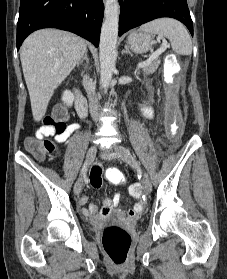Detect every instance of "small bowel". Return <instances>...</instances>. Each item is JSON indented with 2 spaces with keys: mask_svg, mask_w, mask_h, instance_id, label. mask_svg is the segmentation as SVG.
Returning <instances> with one entry per match:
<instances>
[{
  "mask_svg": "<svg viewBox=\"0 0 227 279\" xmlns=\"http://www.w3.org/2000/svg\"><path fill=\"white\" fill-rule=\"evenodd\" d=\"M141 110H142L143 115L146 118L151 119L154 117V110L150 105L144 104L142 106ZM76 129H77V125H75V124L68 125L64 131L59 132L55 135L56 142H59V143L65 142L67 140V138ZM45 136H54V130L51 127H44L37 132L35 138L42 139ZM29 139L31 140L32 137ZM53 152H56V150H53ZM114 169L115 168H106V169L100 168V171H98L97 173H95V174L91 173V175L89 177V184L94 188H100L102 186L103 179L109 178L110 172ZM130 190L132 193H137L140 190V186L132 185ZM79 202H80V204L85 205L87 203V196H81ZM118 202H119V195H115L112 199L104 198L103 199V209L109 211L113 206L117 205ZM98 211H99V206L97 204H91L82 209V212L85 215H93V214H96Z\"/></svg>",
  "mask_w": 227,
  "mask_h": 279,
  "instance_id": "small-bowel-1",
  "label": "small bowel"
}]
</instances>
